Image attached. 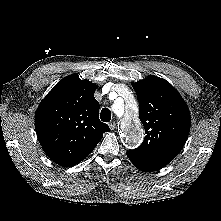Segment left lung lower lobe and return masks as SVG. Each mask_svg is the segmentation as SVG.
Segmentation results:
<instances>
[{"instance_id":"0a47b994","label":"left lung lower lobe","mask_w":221,"mask_h":221,"mask_svg":"<svg viewBox=\"0 0 221 221\" xmlns=\"http://www.w3.org/2000/svg\"><path fill=\"white\" fill-rule=\"evenodd\" d=\"M130 161L141 171L152 172L161 169L163 166L138 159L132 155L127 154Z\"/></svg>"}]
</instances>
